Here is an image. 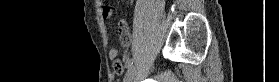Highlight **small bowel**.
<instances>
[{
  "label": "small bowel",
  "mask_w": 279,
  "mask_h": 82,
  "mask_svg": "<svg viewBox=\"0 0 279 82\" xmlns=\"http://www.w3.org/2000/svg\"><path fill=\"white\" fill-rule=\"evenodd\" d=\"M97 5L102 9V15L104 18H108L111 15V10L108 7L104 6L102 1H98ZM119 35L122 45L127 49V52L124 56V62H120L118 59V50L116 48H111L108 52L110 60L113 62V70L116 75H121L124 71V67L127 62L131 61L129 55V47L131 44V36L129 32L128 24L124 21L123 25L119 24ZM119 65V67H116Z\"/></svg>",
  "instance_id": "c3829d8e"
}]
</instances>
